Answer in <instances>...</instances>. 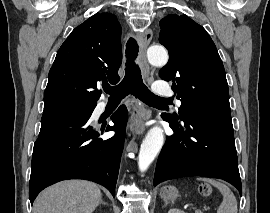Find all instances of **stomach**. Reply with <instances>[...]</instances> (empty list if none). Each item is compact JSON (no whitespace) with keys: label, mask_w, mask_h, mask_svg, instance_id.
Returning a JSON list of instances; mask_svg holds the SVG:
<instances>
[{"label":"stomach","mask_w":270,"mask_h":213,"mask_svg":"<svg viewBox=\"0 0 270 213\" xmlns=\"http://www.w3.org/2000/svg\"><path fill=\"white\" fill-rule=\"evenodd\" d=\"M165 201L173 202L179 196L178 190L173 186L163 187L160 193Z\"/></svg>","instance_id":"0dacf381"}]
</instances>
